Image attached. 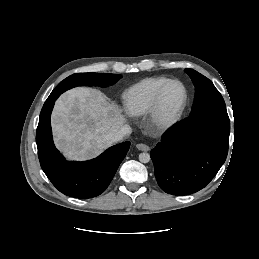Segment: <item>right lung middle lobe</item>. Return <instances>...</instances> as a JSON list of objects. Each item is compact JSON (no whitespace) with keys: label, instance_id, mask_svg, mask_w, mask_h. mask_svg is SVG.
Segmentation results:
<instances>
[{"label":"right lung middle lobe","instance_id":"1","mask_svg":"<svg viewBox=\"0 0 259 259\" xmlns=\"http://www.w3.org/2000/svg\"><path fill=\"white\" fill-rule=\"evenodd\" d=\"M121 78L119 74L110 73H77L73 74L63 81L52 91L48 98L59 96L68 89L75 86H101L107 87L113 85Z\"/></svg>","mask_w":259,"mask_h":259}]
</instances>
